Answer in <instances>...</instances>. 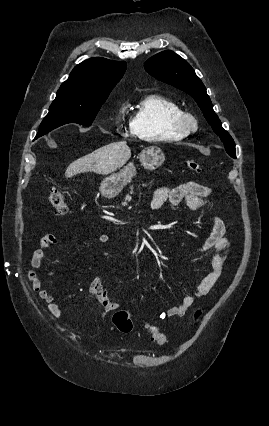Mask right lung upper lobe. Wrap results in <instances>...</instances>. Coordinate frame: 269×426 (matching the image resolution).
<instances>
[{
	"instance_id": "right-lung-upper-lobe-1",
	"label": "right lung upper lobe",
	"mask_w": 269,
	"mask_h": 426,
	"mask_svg": "<svg viewBox=\"0 0 269 426\" xmlns=\"http://www.w3.org/2000/svg\"><path fill=\"white\" fill-rule=\"evenodd\" d=\"M126 70L125 62L91 58L78 64L62 83L57 95H76L82 98L108 96Z\"/></svg>"
}]
</instances>
